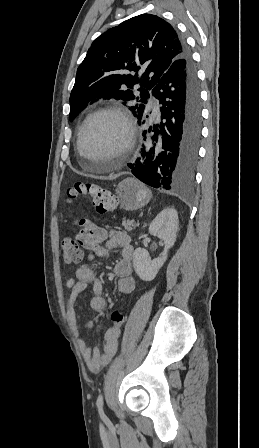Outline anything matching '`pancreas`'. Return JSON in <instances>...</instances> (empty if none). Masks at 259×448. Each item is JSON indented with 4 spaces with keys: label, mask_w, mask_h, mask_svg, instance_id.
Segmentation results:
<instances>
[{
    "label": "pancreas",
    "mask_w": 259,
    "mask_h": 448,
    "mask_svg": "<svg viewBox=\"0 0 259 448\" xmlns=\"http://www.w3.org/2000/svg\"><path fill=\"white\" fill-rule=\"evenodd\" d=\"M122 226H124L125 230H128V232H131V230L137 228L139 224H135L134 220H126V218H123Z\"/></svg>",
    "instance_id": "pancreas-1"
}]
</instances>
